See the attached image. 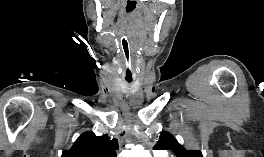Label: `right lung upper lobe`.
Instances as JSON below:
<instances>
[{"mask_svg":"<svg viewBox=\"0 0 264 157\" xmlns=\"http://www.w3.org/2000/svg\"><path fill=\"white\" fill-rule=\"evenodd\" d=\"M118 143L108 135L96 136L85 132L79 136L70 150H63L61 157H117Z\"/></svg>","mask_w":264,"mask_h":157,"instance_id":"right-lung-upper-lobe-1","label":"right lung upper lobe"}]
</instances>
